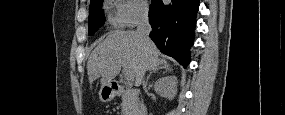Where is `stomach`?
I'll list each match as a JSON object with an SVG mask.
<instances>
[{
	"instance_id": "0dacf381",
	"label": "stomach",
	"mask_w": 285,
	"mask_h": 115,
	"mask_svg": "<svg viewBox=\"0 0 285 115\" xmlns=\"http://www.w3.org/2000/svg\"><path fill=\"white\" fill-rule=\"evenodd\" d=\"M115 95L116 92L110 84L102 86L99 91V99L104 103L110 102Z\"/></svg>"
}]
</instances>
